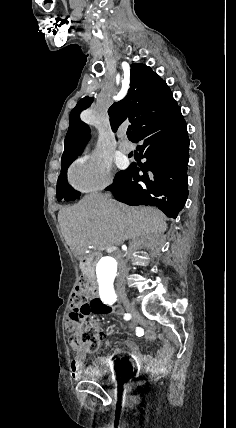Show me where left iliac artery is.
Returning <instances> with one entry per match:
<instances>
[{
    "label": "left iliac artery",
    "instance_id": "1",
    "mask_svg": "<svg viewBox=\"0 0 236 428\" xmlns=\"http://www.w3.org/2000/svg\"><path fill=\"white\" fill-rule=\"evenodd\" d=\"M99 295L104 304L112 305L116 301L115 291H99Z\"/></svg>",
    "mask_w": 236,
    "mask_h": 428
}]
</instances>
